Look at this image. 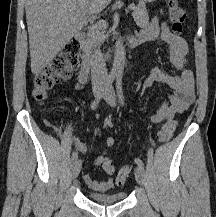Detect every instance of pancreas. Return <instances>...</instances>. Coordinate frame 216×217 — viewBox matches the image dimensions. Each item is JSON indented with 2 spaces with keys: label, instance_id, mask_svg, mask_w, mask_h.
<instances>
[{
  "label": "pancreas",
  "instance_id": "cf45deb5",
  "mask_svg": "<svg viewBox=\"0 0 216 217\" xmlns=\"http://www.w3.org/2000/svg\"><path fill=\"white\" fill-rule=\"evenodd\" d=\"M133 18L136 22V24L141 28H146L149 25V17L146 9V5L144 3H139L137 6L133 9ZM107 27L106 22H99L97 25H95L91 31L92 37H94L97 41H103L105 38L103 32L100 30Z\"/></svg>",
  "mask_w": 216,
  "mask_h": 217
}]
</instances>
